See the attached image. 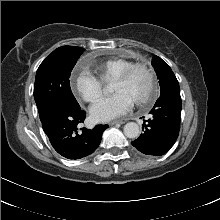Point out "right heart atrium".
I'll return each mask as SVG.
<instances>
[{
	"label": "right heart atrium",
	"mask_w": 220,
	"mask_h": 220,
	"mask_svg": "<svg viewBox=\"0 0 220 220\" xmlns=\"http://www.w3.org/2000/svg\"><path fill=\"white\" fill-rule=\"evenodd\" d=\"M73 92L88 103L96 102L103 93L102 82L87 71L80 72L73 80Z\"/></svg>",
	"instance_id": "obj_1"
}]
</instances>
